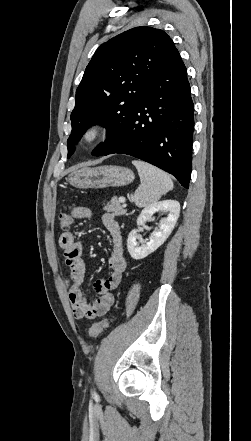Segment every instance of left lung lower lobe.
I'll return each mask as SVG.
<instances>
[{"label":"left lung lower lobe","instance_id":"left-lung-lower-lobe-1","mask_svg":"<svg viewBox=\"0 0 251 441\" xmlns=\"http://www.w3.org/2000/svg\"><path fill=\"white\" fill-rule=\"evenodd\" d=\"M194 105L187 70L176 49L147 86V95L93 155L123 153L174 175L188 189L192 168Z\"/></svg>","mask_w":251,"mask_h":441}]
</instances>
